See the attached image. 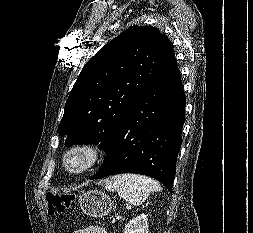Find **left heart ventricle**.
<instances>
[{
    "label": "left heart ventricle",
    "instance_id": "b2bd125f",
    "mask_svg": "<svg viewBox=\"0 0 253 233\" xmlns=\"http://www.w3.org/2000/svg\"><path fill=\"white\" fill-rule=\"evenodd\" d=\"M78 162H79L78 159H74V160L72 161L73 164H76V163H78Z\"/></svg>",
    "mask_w": 253,
    "mask_h": 233
}]
</instances>
